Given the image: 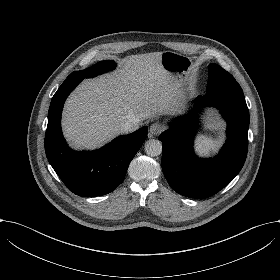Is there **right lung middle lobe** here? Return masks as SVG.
<instances>
[{
    "instance_id": "right-lung-middle-lobe-1",
    "label": "right lung middle lobe",
    "mask_w": 280,
    "mask_h": 280,
    "mask_svg": "<svg viewBox=\"0 0 280 280\" xmlns=\"http://www.w3.org/2000/svg\"><path fill=\"white\" fill-rule=\"evenodd\" d=\"M116 67V63H114V61L112 60H105V61H101L96 63L95 65L82 70V71H74L71 73V75H76V76H81L83 78H91V77H95L99 74L108 72L112 69H114Z\"/></svg>"
}]
</instances>
